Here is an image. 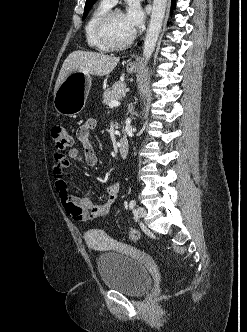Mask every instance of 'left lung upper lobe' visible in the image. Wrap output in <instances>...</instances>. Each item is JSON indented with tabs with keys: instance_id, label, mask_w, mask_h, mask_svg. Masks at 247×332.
I'll return each mask as SVG.
<instances>
[{
	"instance_id": "obj_1",
	"label": "left lung upper lobe",
	"mask_w": 247,
	"mask_h": 332,
	"mask_svg": "<svg viewBox=\"0 0 247 332\" xmlns=\"http://www.w3.org/2000/svg\"><path fill=\"white\" fill-rule=\"evenodd\" d=\"M97 0H86V4H85V8H84V14H83V19L86 18L89 10L91 9V7L93 6V4L96 2Z\"/></svg>"
}]
</instances>
